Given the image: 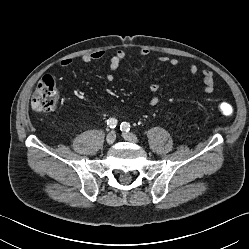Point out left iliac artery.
<instances>
[{
	"instance_id": "obj_1",
	"label": "left iliac artery",
	"mask_w": 249,
	"mask_h": 249,
	"mask_svg": "<svg viewBox=\"0 0 249 249\" xmlns=\"http://www.w3.org/2000/svg\"><path fill=\"white\" fill-rule=\"evenodd\" d=\"M120 129L125 131V132H128L130 130V124L127 122H123L120 125Z\"/></svg>"
}]
</instances>
